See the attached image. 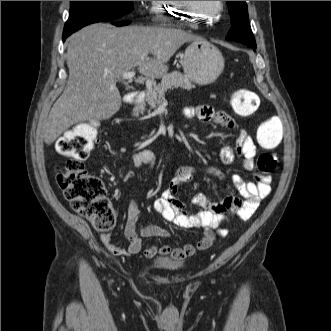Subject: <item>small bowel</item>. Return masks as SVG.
Wrapping results in <instances>:
<instances>
[{"instance_id": "c3829d8e", "label": "small bowel", "mask_w": 331, "mask_h": 331, "mask_svg": "<svg viewBox=\"0 0 331 331\" xmlns=\"http://www.w3.org/2000/svg\"><path fill=\"white\" fill-rule=\"evenodd\" d=\"M187 118H197L202 122H214L227 129H234L233 119L223 111H216L207 105L187 107L183 110ZM241 157V167L246 171L254 169L256 145L252 137L241 130L238 134L235 147L224 146L220 150V159L224 165L231 164L235 155ZM132 164L139 168L142 166L152 167L155 162L154 153L144 149L131 155ZM209 174L222 178L221 172L216 168L207 170ZM195 168L183 166L177 170L170 180L168 187L153 203V210L165 221L184 229L202 230L200 240L213 241L215 234L225 236L227 230L222 225L227 221L228 214H234L240 221H246L255 213L261 200L268 197L271 192V178L266 175L255 174L253 181H246L240 175H234L232 182L239 192L237 196L227 192L219 202L210 201L204 194H197L192 200L195 210H188L186 204L181 201L177 194L179 187L192 180ZM128 179L132 175H128ZM124 237L128 240V246L120 248L115 246L109 235H103L102 240L107 249L115 255H133L142 251V238L157 237L165 239L168 232L156 225H143L140 222V209L136 200H130L127 207ZM193 244H185L182 247L172 248L169 245H153L144 249V255L152 258L156 255L170 256L181 260L195 253Z\"/></svg>"}]
</instances>
